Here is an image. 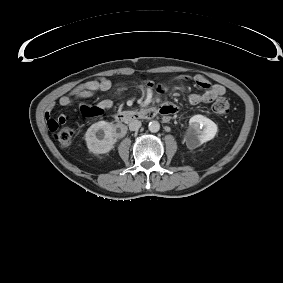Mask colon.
Returning <instances> with one entry per match:
<instances>
[{"instance_id":"obj_1","label":"colon","mask_w":283,"mask_h":283,"mask_svg":"<svg viewBox=\"0 0 283 283\" xmlns=\"http://www.w3.org/2000/svg\"><path fill=\"white\" fill-rule=\"evenodd\" d=\"M212 110L217 115H227L230 111V104L225 98L220 97L214 101ZM52 131H54V137L60 146L67 147L71 145L73 140V130L71 128H58L57 126Z\"/></svg>"}]
</instances>
